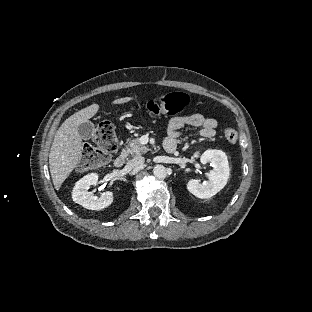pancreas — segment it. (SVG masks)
Returning <instances> with one entry per match:
<instances>
[{"label":"pancreas","mask_w":312,"mask_h":312,"mask_svg":"<svg viewBox=\"0 0 312 312\" xmlns=\"http://www.w3.org/2000/svg\"><path fill=\"white\" fill-rule=\"evenodd\" d=\"M149 151V148L142 145L138 138L131 140L125 149L122 150L121 156L127 157L131 155L133 157L140 156Z\"/></svg>","instance_id":"pancreas-1"}]
</instances>
